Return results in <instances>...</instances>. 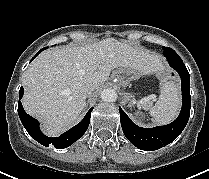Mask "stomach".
<instances>
[{"label": "stomach", "mask_w": 209, "mask_h": 179, "mask_svg": "<svg viewBox=\"0 0 209 179\" xmlns=\"http://www.w3.org/2000/svg\"><path fill=\"white\" fill-rule=\"evenodd\" d=\"M140 76L138 71L123 69L118 73L117 78L122 87H127L131 81L139 79Z\"/></svg>", "instance_id": "obj_1"}]
</instances>
